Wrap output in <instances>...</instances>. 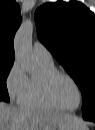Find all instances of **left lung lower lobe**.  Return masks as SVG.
<instances>
[{
    "mask_svg": "<svg viewBox=\"0 0 95 130\" xmlns=\"http://www.w3.org/2000/svg\"><path fill=\"white\" fill-rule=\"evenodd\" d=\"M83 111V119L95 122V107Z\"/></svg>",
    "mask_w": 95,
    "mask_h": 130,
    "instance_id": "1",
    "label": "left lung lower lobe"
}]
</instances>
